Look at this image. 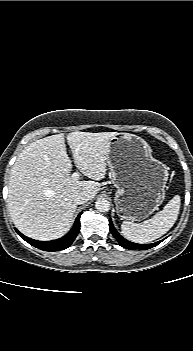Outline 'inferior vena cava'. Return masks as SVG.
I'll return each instance as SVG.
<instances>
[{
  "label": "inferior vena cava",
  "mask_w": 193,
  "mask_h": 351,
  "mask_svg": "<svg viewBox=\"0 0 193 351\" xmlns=\"http://www.w3.org/2000/svg\"><path fill=\"white\" fill-rule=\"evenodd\" d=\"M89 200V195L86 192H81L76 196V203L78 205L84 204Z\"/></svg>",
  "instance_id": "obj_1"
}]
</instances>
